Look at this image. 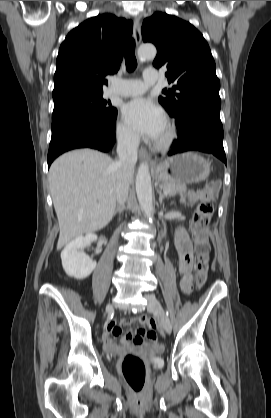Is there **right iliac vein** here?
Segmentation results:
<instances>
[{"label": "right iliac vein", "mask_w": 271, "mask_h": 418, "mask_svg": "<svg viewBox=\"0 0 271 418\" xmlns=\"http://www.w3.org/2000/svg\"><path fill=\"white\" fill-rule=\"evenodd\" d=\"M111 310H112V305L111 304H108L106 306V309H105L106 313L109 312V311H111Z\"/></svg>", "instance_id": "right-iliac-vein-1"}]
</instances>
